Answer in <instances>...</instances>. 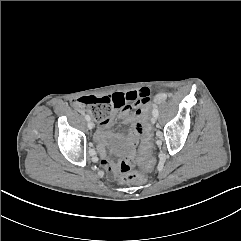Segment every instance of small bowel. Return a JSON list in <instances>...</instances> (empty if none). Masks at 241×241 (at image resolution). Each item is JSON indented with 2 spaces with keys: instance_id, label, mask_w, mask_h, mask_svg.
Masks as SVG:
<instances>
[{
  "instance_id": "c3829d8e",
  "label": "small bowel",
  "mask_w": 241,
  "mask_h": 241,
  "mask_svg": "<svg viewBox=\"0 0 241 241\" xmlns=\"http://www.w3.org/2000/svg\"><path fill=\"white\" fill-rule=\"evenodd\" d=\"M151 89L146 85H141L137 90L125 92V93H115L110 96L111 100L114 102V112L118 110L119 116L123 120L124 125L127 128L129 136L132 140L140 137L142 139V108L144 106H149L151 104ZM163 94H159L156 97V101H160L163 98ZM112 124V117L106 121L100 123L94 139L97 144V148L100 152L103 165L107 171L108 177L114 179L116 177V168L107 159L106 152V132L105 130ZM130 153L135 154L134 146H130Z\"/></svg>"
}]
</instances>
